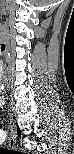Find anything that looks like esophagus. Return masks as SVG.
<instances>
[{
  "label": "esophagus",
  "mask_w": 74,
  "mask_h": 154,
  "mask_svg": "<svg viewBox=\"0 0 74 154\" xmlns=\"http://www.w3.org/2000/svg\"><path fill=\"white\" fill-rule=\"evenodd\" d=\"M15 135H14V131L12 130V132H11V137H10V139H9V144L10 145H14L15 144Z\"/></svg>",
  "instance_id": "34e87169"
}]
</instances>
